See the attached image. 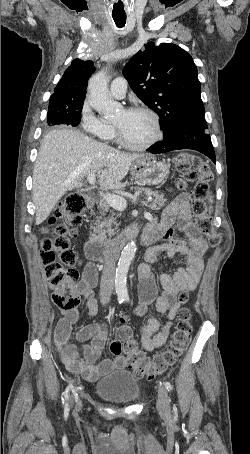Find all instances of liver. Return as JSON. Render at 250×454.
Wrapping results in <instances>:
<instances>
[{
    "mask_svg": "<svg viewBox=\"0 0 250 454\" xmlns=\"http://www.w3.org/2000/svg\"><path fill=\"white\" fill-rule=\"evenodd\" d=\"M141 156L118 151L79 131H50L41 143L33 169L36 225L46 220L68 190L81 188L83 178L89 174H97L104 189L124 188L122 179Z\"/></svg>",
    "mask_w": 250,
    "mask_h": 454,
    "instance_id": "1",
    "label": "liver"
}]
</instances>
